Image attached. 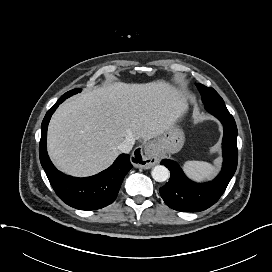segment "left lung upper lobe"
Returning <instances> with one entry per match:
<instances>
[{
  "label": "left lung upper lobe",
  "instance_id": "1",
  "mask_svg": "<svg viewBox=\"0 0 272 272\" xmlns=\"http://www.w3.org/2000/svg\"><path fill=\"white\" fill-rule=\"evenodd\" d=\"M196 86L202 96L205 107L214 104H225L221 96L213 88L206 87L199 83H197Z\"/></svg>",
  "mask_w": 272,
  "mask_h": 272
}]
</instances>
